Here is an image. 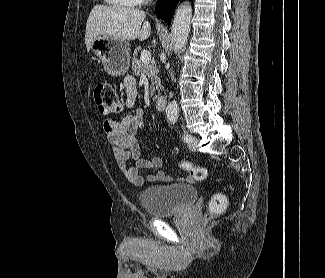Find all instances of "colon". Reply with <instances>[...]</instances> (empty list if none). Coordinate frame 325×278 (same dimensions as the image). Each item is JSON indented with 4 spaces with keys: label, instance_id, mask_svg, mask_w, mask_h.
<instances>
[{
    "label": "colon",
    "instance_id": "1",
    "mask_svg": "<svg viewBox=\"0 0 325 278\" xmlns=\"http://www.w3.org/2000/svg\"><path fill=\"white\" fill-rule=\"evenodd\" d=\"M94 102L98 110L105 115L120 113L123 109L122 101L114 87L107 83H98L94 89ZM181 169L185 170L191 180L202 181L209 175V170L204 166H196L189 162L179 163ZM227 204V198L223 193H216L209 202V216L221 213Z\"/></svg>",
    "mask_w": 325,
    "mask_h": 278
}]
</instances>
